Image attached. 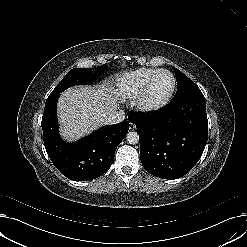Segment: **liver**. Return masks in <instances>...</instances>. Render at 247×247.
Returning a JSON list of instances; mask_svg holds the SVG:
<instances>
[{"instance_id":"obj_1","label":"liver","mask_w":247,"mask_h":247,"mask_svg":"<svg viewBox=\"0 0 247 247\" xmlns=\"http://www.w3.org/2000/svg\"><path fill=\"white\" fill-rule=\"evenodd\" d=\"M110 87L77 86L64 91L57 104L61 135L74 141L105 124L108 113L118 107Z\"/></svg>"}]
</instances>
